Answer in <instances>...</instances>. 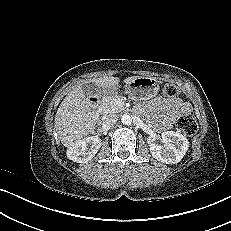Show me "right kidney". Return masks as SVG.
Instances as JSON below:
<instances>
[{
  "mask_svg": "<svg viewBox=\"0 0 231 231\" xmlns=\"http://www.w3.org/2000/svg\"><path fill=\"white\" fill-rule=\"evenodd\" d=\"M100 147L101 139L98 136L86 137L68 147L67 157L77 163H86L93 159Z\"/></svg>",
  "mask_w": 231,
  "mask_h": 231,
  "instance_id": "right-kidney-1",
  "label": "right kidney"
}]
</instances>
